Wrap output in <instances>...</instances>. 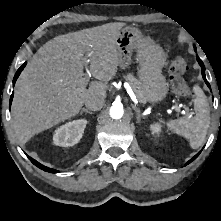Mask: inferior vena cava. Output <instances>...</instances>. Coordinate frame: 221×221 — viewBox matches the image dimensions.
Here are the masks:
<instances>
[{"mask_svg":"<svg viewBox=\"0 0 221 221\" xmlns=\"http://www.w3.org/2000/svg\"><path fill=\"white\" fill-rule=\"evenodd\" d=\"M104 103H105V98L99 96H93L85 101V106L92 111H97L104 106Z\"/></svg>","mask_w":221,"mask_h":221,"instance_id":"inferior-vena-cava-1","label":"inferior vena cava"}]
</instances>
